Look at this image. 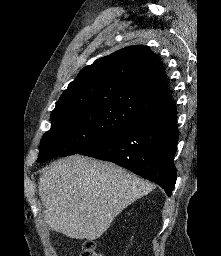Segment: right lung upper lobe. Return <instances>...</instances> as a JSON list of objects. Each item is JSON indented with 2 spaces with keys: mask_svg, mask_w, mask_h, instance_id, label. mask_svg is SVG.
<instances>
[{
  "mask_svg": "<svg viewBox=\"0 0 221 256\" xmlns=\"http://www.w3.org/2000/svg\"><path fill=\"white\" fill-rule=\"evenodd\" d=\"M163 70L147 47H125L83 68L52 112L110 104L145 119L173 110Z\"/></svg>",
  "mask_w": 221,
  "mask_h": 256,
  "instance_id": "1",
  "label": "right lung upper lobe"
}]
</instances>
